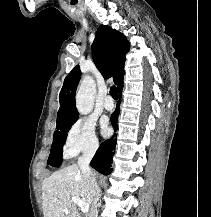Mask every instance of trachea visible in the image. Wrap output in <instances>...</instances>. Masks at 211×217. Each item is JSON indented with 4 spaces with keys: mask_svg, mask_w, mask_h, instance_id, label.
<instances>
[{
    "mask_svg": "<svg viewBox=\"0 0 211 217\" xmlns=\"http://www.w3.org/2000/svg\"><path fill=\"white\" fill-rule=\"evenodd\" d=\"M110 94H111V96L113 97L114 100L118 99V90H117L116 86H112L110 88Z\"/></svg>",
    "mask_w": 211,
    "mask_h": 217,
    "instance_id": "obj_1",
    "label": "trachea"
}]
</instances>
